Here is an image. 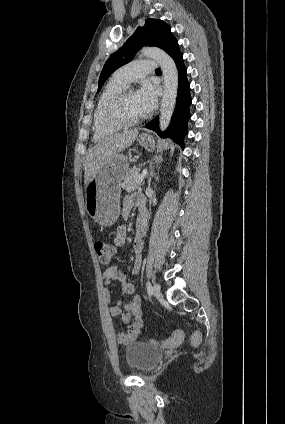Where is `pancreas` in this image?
<instances>
[{"mask_svg":"<svg viewBox=\"0 0 285 424\" xmlns=\"http://www.w3.org/2000/svg\"><path fill=\"white\" fill-rule=\"evenodd\" d=\"M139 173L137 168H133L129 171L128 175L121 184L122 189L126 190L128 193L135 191L140 188L143 182L138 183Z\"/></svg>","mask_w":285,"mask_h":424,"instance_id":"pancreas-1","label":"pancreas"}]
</instances>
